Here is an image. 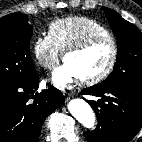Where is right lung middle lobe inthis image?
<instances>
[{
  "label": "right lung middle lobe",
  "mask_w": 142,
  "mask_h": 142,
  "mask_svg": "<svg viewBox=\"0 0 142 142\" xmlns=\"http://www.w3.org/2000/svg\"><path fill=\"white\" fill-rule=\"evenodd\" d=\"M32 32L25 14L0 18V89L24 83L36 75L29 53Z\"/></svg>",
  "instance_id": "1"
}]
</instances>
